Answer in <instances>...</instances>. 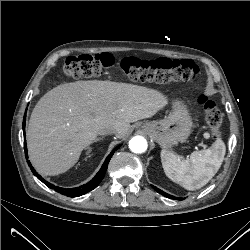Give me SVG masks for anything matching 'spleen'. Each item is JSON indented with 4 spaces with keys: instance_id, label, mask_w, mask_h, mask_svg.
Masks as SVG:
<instances>
[{
    "instance_id": "1",
    "label": "spleen",
    "mask_w": 250,
    "mask_h": 250,
    "mask_svg": "<svg viewBox=\"0 0 250 250\" xmlns=\"http://www.w3.org/2000/svg\"><path fill=\"white\" fill-rule=\"evenodd\" d=\"M226 147L221 138L202 151H194L190 158H182L163 149L161 162L166 176L187 190L205 186L217 173L223 162Z\"/></svg>"
}]
</instances>
